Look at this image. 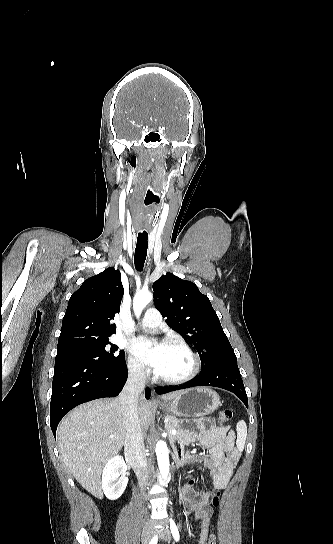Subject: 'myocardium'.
I'll use <instances>...</instances> for the list:
<instances>
[{
	"mask_svg": "<svg viewBox=\"0 0 333 544\" xmlns=\"http://www.w3.org/2000/svg\"><path fill=\"white\" fill-rule=\"evenodd\" d=\"M168 345L179 347L183 349L185 352H187L192 359V367L187 374L177 378L162 377L155 372L154 373L155 379L164 384L178 385V384L189 382L190 380L195 378L201 369V359L198 353L195 352L187 342L181 339H171L169 340Z\"/></svg>",
	"mask_w": 333,
	"mask_h": 544,
	"instance_id": "f54148a6",
	"label": "myocardium"
}]
</instances>
